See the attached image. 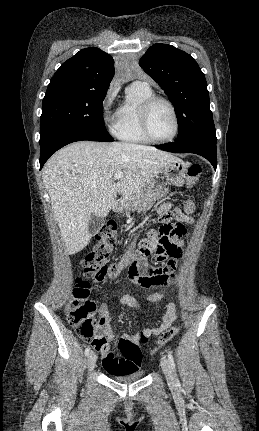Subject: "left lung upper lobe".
Listing matches in <instances>:
<instances>
[{"mask_svg":"<svg viewBox=\"0 0 259 431\" xmlns=\"http://www.w3.org/2000/svg\"><path fill=\"white\" fill-rule=\"evenodd\" d=\"M139 65L174 105L179 123L177 140L196 136L216 138L205 75L191 55L157 43L146 51Z\"/></svg>","mask_w":259,"mask_h":431,"instance_id":"obj_1","label":"left lung upper lobe"}]
</instances>
